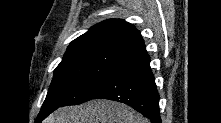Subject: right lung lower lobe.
I'll return each instance as SVG.
<instances>
[{"label":"right lung lower lobe","mask_w":221,"mask_h":123,"mask_svg":"<svg viewBox=\"0 0 221 123\" xmlns=\"http://www.w3.org/2000/svg\"><path fill=\"white\" fill-rule=\"evenodd\" d=\"M109 99L127 104L151 122L160 123L159 94L147 52L130 57L94 88L90 99ZM48 115L38 117L42 121Z\"/></svg>","instance_id":"98d812e1"}]
</instances>
